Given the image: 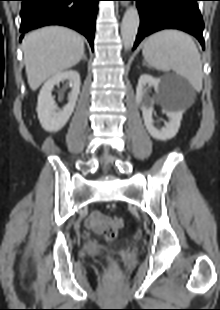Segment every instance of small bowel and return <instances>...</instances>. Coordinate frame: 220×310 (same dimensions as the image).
<instances>
[{
	"mask_svg": "<svg viewBox=\"0 0 220 310\" xmlns=\"http://www.w3.org/2000/svg\"><path fill=\"white\" fill-rule=\"evenodd\" d=\"M108 219L109 218L107 216L103 215L99 211H93L86 219V225L88 228L98 231L105 226Z\"/></svg>",
	"mask_w": 220,
	"mask_h": 310,
	"instance_id": "small-bowel-1",
	"label": "small bowel"
}]
</instances>
